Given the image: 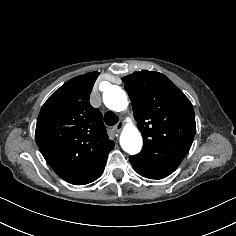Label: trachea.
Instances as JSON below:
<instances>
[{
	"mask_svg": "<svg viewBox=\"0 0 236 236\" xmlns=\"http://www.w3.org/2000/svg\"><path fill=\"white\" fill-rule=\"evenodd\" d=\"M104 121L108 126H114L119 121V118L115 113L108 111L104 114Z\"/></svg>",
	"mask_w": 236,
	"mask_h": 236,
	"instance_id": "1",
	"label": "trachea"
}]
</instances>
